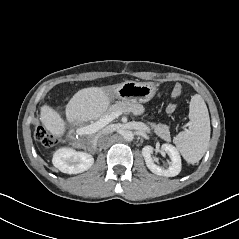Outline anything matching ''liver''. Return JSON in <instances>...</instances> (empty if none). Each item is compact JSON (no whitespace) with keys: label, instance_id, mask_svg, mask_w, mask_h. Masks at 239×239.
I'll list each match as a JSON object with an SVG mask.
<instances>
[{"label":"liver","instance_id":"1","mask_svg":"<svg viewBox=\"0 0 239 239\" xmlns=\"http://www.w3.org/2000/svg\"><path fill=\"white\" fill-rule=\"evenodd\" d=\"M110 103L111 98L106 87L83 88L75 93L66 105L67 121L73 125H80L97 120L107 113ZM40 117L42 124L51 134L62 135L65 132L66 122L51 106L43 105L40 108ZM96 135H91L93 143Z\"/></svg>","mask_w":239,"mask_h":239}]
</instances>
